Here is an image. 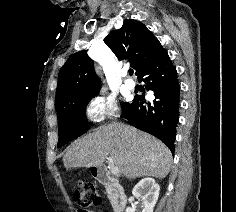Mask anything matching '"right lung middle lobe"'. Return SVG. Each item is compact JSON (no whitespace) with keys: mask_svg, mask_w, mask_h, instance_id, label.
<instances>
[{"mask_svg":"<svg viewBox=\"0 0 236 212\" xmlns=\"http://www.w3.org/2000/svg\"><path fill=\"white\" fill-rule=\"evenodd\" d=\"M95 94L86 95L73 101L65 108L57 111L59 122L58 147L65 145L73 139L86 133L92 123H88L85 108ZM127 103H122V107Z\"/></svg>","mask_w":236,"mask_h":212,"instance_id":"right-lung-middle-lobe-1","label":"right lung middle lobe"}]
</instances>
